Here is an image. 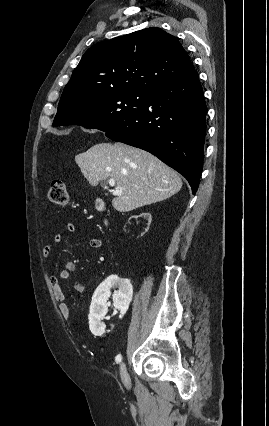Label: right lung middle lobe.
Instances as JSON below:
<instances>
[{"label": "right lung middle lobe", "instance_id": "right-lung-middle-lobe-1", "mask_svg": "<svg viewBox=\"0 0 269 426\" xmlns=\"http://www.w3.org/2000/svg\"><path fill=\"white\" fill-rule=\"evenodd\" d=\"M148 98L146 92H116L88 99L76 96L60 99L53 126L82 125L108 131L123 124L141 111Z\"/></svg>", "mask_w": 269, "mask_h": 426}]
</instances>
